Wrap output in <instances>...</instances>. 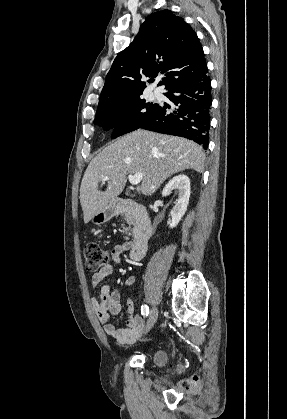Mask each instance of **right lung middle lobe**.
<instances>
[{
	"mask_svg": "<svg viewBox=\"0 0 287 419\" xmlns=\"http://www.w3.org/2000/svg\"><path fill=\"white\" fill-rule=\"evenodd\" d=\"M158 104L146 103L140 97L108 105L97 110L94 124L104 130L115 128L112 138L138 129L156 110Z\"/></svg>",
	"mask_w": 287,
	"mask_h": 419,
	"instance_id": "obj_1",
	"label": "right lung middle lobe"
}]
</instances>
